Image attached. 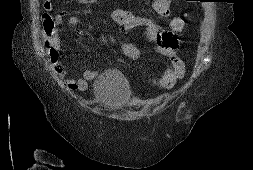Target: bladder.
Returning <instances> with one entry per match:
<instances>
[{"label": "bladder", "mask_w": 253, "mask_h": 170, "mask_svg": "<svg viewBox=\"0 0 253 170\" xmlns=\"http://www.w3.org/2000/svg\"><path fill=\"white\" fill-rule=\"evenodd\" d=\"M93 91L97 103L110 111L123 109L132 94L125 76L114 69H108L96 78Z\"/></svg>", "instance_id": "obj_1"}]
</instances>
